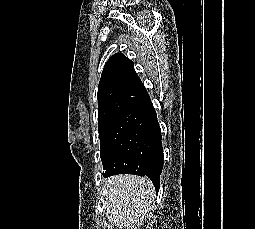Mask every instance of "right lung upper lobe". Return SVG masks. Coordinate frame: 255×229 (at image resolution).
Segmentation results:
<instances>
[{
    "instance_id": "right-lung-upper-lobe-1",
    "label": "right lung upper lobe",
    "mask_w": 255,
    "mask_h": 229,
    "mask_svg": "<svg viewBox=\"0 0 255 229\" xmlns=\"http://www.w3.org/2000/svg\"><path fill=\"white\" fill-rule=\"evenodd\" d=\"M150 101L134 70V63L121 53L106 62L98 85V125Z\"/></svg>"
}]
</instances>
